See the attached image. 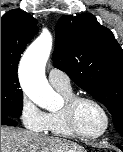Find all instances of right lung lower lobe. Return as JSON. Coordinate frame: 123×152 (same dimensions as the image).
Masks as SVG:
<instances>
[{
	"mask_svg": "<svg viewBox=\"0 0 123 152\" xmlns=\"http://www.w3.org/2000/svg\"><path fill=\"white\" fill-rule=\"evenodd\" d=\"M1 125L16 126V122L9 117H1Z\"/></svg>",
	"mask_w": 123,
	"mask_h": 152,
	"instance_id": "98d812e1",
	"label": "right lung lower lobe"
}]
</instances>
